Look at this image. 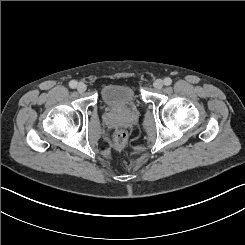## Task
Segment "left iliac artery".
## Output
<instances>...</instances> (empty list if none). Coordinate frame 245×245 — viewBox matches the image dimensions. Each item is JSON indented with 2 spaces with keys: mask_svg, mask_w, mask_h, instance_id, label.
<instances>
[{
  "mask_svg": "<svg viewBox=\"0 0 245 245\" xmlns=\"http://www.w3.org/2000/svg\"><path fill=\"white\" fill-rule=\"evenodd\" d=\"M171 83H172V79L171 78L167 77V78L164 79V84L165 85L168 86V85H171Z\"/></svg>",
  "mask_w": 245,
  "mask_h": 245,
  "instance_id": "1",
  "label": "left iliac artery"
}]
</instances>
